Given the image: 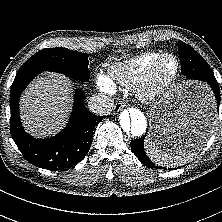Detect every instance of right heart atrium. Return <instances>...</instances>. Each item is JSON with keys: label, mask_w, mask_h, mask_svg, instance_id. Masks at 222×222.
I'll list each match as a JSON object with an SVG mask.
<instances>
[{"label": "right heart atrium", "mask_w": 222, "mask_h": 222, "mask_svg": "<svg viewBox=\"0 0 222 222\" xmlns=\"http://www.w3.org/2000/svg\"><path fill=\"white\" fill-rule=\"evenodd\" d=\"M97 85L101 91L106 93H110L113 90V87L109 84L107 78L102 75L97 78Z\"/></svg>", "instance_id": "right-heart-atrium-1"}]
</instances>
